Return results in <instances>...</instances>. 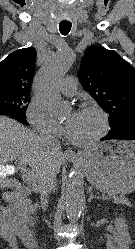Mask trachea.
Segmentation results:
<instances>
[{"label":"trachea","mask_w":135,"mask_h":249,"mask_svg":"<svg viewBox=\"0 0 135 249\" xmlns=\"http://www.w3.org/2000/svg\"><path fill=\"white\" fill-rule=\"evenodd\" d=\"M72 24L70 22H60L59 30L62 35H67L71 30Z\"/></svg>","instance_id":"1"}]
</instances>
